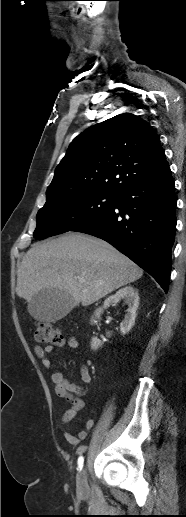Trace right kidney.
<instances>
[{"mask_svg":"<svg viewBox=\"0 0 186 517\" xmlns=\"http://www.w3.org/2000/svg\"><path fill=\"white\" fill-rule=\"evenodd\" d=\"M120 300H124V302L128 305L127 313L125 314L124 320L120 324L121 334H127L135 323L136 310L139 306L138 292L132 286H126L118 290L114 295L108 297L104 301L103 307L95 310L94 316L91 318V324H93L94 318H100V315L103 313L104 309L108 308L110 305H115ZM102 344L103 343L99 339L93 337L91 341V349L97 350L102 346Z\"/></svg>","mask_w":186,"mask_h":517,"instance_id":"right-kidney-1","label":"right kidney"}]
</instances>
